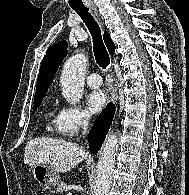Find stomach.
Listing matches in <instances>:
<instances>
[{
    "mask_svg": "<svg viewBox=\"0 0 189 195\" xmlns=\"http://www.w3.org/2000/svg\"><path fill=\"white\" fill-rule=\"evenodd\" d=\"M36 181L44 188L51 189L59 180V172L49 164H39L32 168Z\"/></svg>",
    "mask_w": 189,
    "mask_h": 195,
    "instance_id": "obj_1",
    "label": "stomach"
}]
</instances>
